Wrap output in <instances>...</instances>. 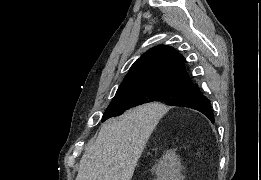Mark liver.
<instances>
[{
  "label": "liver",
  "instance_id": "6515ba94",
  "mask_svg": "<svg viewBox=\"0 0 261 180\" xmlns=\"http://www.w3.org/2000/svg\"><path fill=\"white\" fill-rule=\"evenodd\" d=\"M160 106L145 104L104 122L80 160L76 180H131Z\"/></svg>",
  "mask_w": 261,
  "mask_h": 180
}]
</instances>
